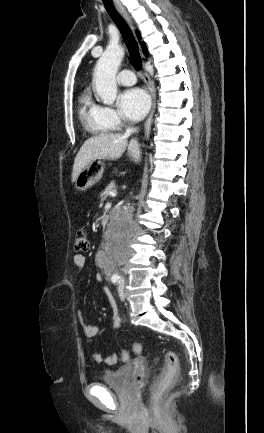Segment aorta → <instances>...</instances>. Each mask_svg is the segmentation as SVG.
<instances>
[{
  "mask_svg": "<svg viewBox=\"0 0 264 433\" xmlns=\"http://www.w3.org/2000/svg\"><path fill=\"white\" fill-rule=\"evenodd\" d=\"M124 57L120 47H108L98 60L94 72V84L104 104L112 105L117 96L116 73Z\"/></svg>",
  "mask_w": 264,
  "mask_h": 433,
  "instance_id": "aorta-1",
  "label": "aorta"
}]
</instances>
